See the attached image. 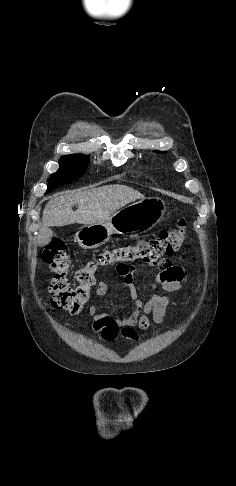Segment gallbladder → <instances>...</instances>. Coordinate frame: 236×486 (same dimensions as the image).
Segmentation results:
<instances>
[{"label": "gallbladder", "instance_id": "bac80fb5", "mask_svg": "<svg viewBox=\"0 0 236 486\" xmlns=\"http://www.w3.org/2000/svg\"><path fill=\"white\" fill-rule=\"evenodd\" d=\"M52 236H53V231L51 229L49 228L42 229L39 237V245L40 246L47 245L50 242Z\"/></svg>", "mask_w": 236, "mask_h": 486}]
</instances>
